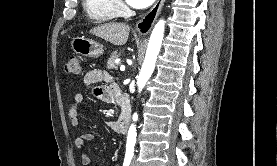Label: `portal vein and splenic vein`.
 <instances>
[{
  "mask_svg": "<svg viewBox=\"0 0 277 166\" xmlns=\"http://www.w3.org/2000/svg\"><path fill=\"white\" fill-rule=\"evenodd\" d=\"M120 70H121V71H124V70H125V66H124V65H121V66H120Z\"/></svg>",
  "mask_w": 277,
  "mask_h": 166,
  "instance_id": "portal-vein-and-splenic-vein-1",
  "label": "portal vein and splenic vein"
}]
</instances>
